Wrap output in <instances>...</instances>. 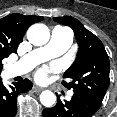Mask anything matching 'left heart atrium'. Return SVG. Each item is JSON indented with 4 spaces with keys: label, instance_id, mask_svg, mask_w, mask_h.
<instances>
[{
    "label": "left heart atrium",
    "instance_id": "39dd6f15",
    "mask_svg": "<svg viewBox=\"0 0 117 117\" xmlns=\"http://www.w3.org/2000/svg\"><path fill=\"white\" fill-rule=\"evenodd\" d=\"M56 70V66L55 65H50V66H45L41 69H39L36 72V78L39 81H44L47 78L48 73L52 72Z\"/></svg>",
    "mask_w": 117,
    "mask_h": 117
}]
</instances>
